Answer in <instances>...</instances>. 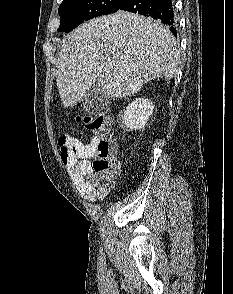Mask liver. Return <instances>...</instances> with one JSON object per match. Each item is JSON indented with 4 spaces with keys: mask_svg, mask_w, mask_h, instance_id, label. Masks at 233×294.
<instances>
[{
    "mask_svg": "<svg viewBox=\"0 0 233 294\" xmlns=\"http://www.w3.org/2000/svg\"><path fill=\"white\" fill-rule=\"evenodd\" d=\"M56 82L62 104L82 101L95 84L107 97L137 93L154 78H173L180 52L160 22L118 11L80 25L58 53Z\"/></svg>",
    "mask_w": 233,
    "mask_h": 294,
    "instance_id": "obj_1",
    "label": "liver"
}]
</instances>
